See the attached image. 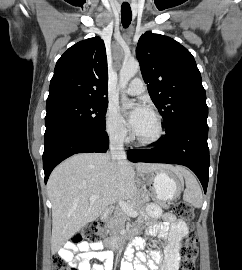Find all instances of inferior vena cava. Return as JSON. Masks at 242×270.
I'll return each mask as SVG.
<instances>
[{
	"instance_id": "obj_1",
	"label": "inferior vena cava",
	"mask_w": 242,
	"mask_h": 270,
	"mask_svg": "<svg viewBox=\"0 0 242 270\" xmlns=\"http://www.w3.org/2000/svg\"><path fill=\"white\" fill-rule=\"evenodd\" d=\"M123 137L121 135L115 136L110 142V154L112 161L125 160L126 154L124 151Z\"/></svg>"
}]
</instances>
